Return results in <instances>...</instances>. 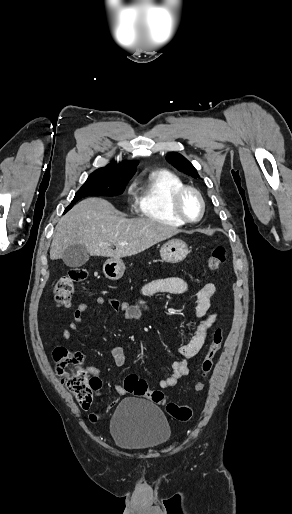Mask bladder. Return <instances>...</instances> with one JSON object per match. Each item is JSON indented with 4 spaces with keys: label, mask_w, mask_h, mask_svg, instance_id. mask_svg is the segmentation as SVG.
<instances>
[{
    "label": "bladder",
    "mask_w": 292,
    "mask_h": 514,
    "mask_svg": "<svg viewBox=\"0 0 292 514\" xmlns=\"http://www.w3.org/2000/svg\"><path fill=\"white\" fill-rule=\"evenodd\" d=\"M110 429L115 443L131 451L156 449L168 442L172 435L162 410L137 398H127L117 406Z\"/></svg>",
    "instance_id": "obj_1"
}]
</instances>
